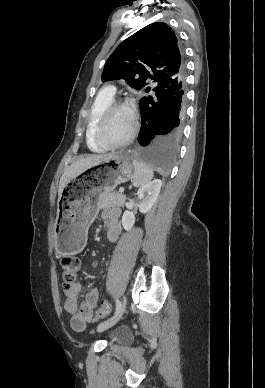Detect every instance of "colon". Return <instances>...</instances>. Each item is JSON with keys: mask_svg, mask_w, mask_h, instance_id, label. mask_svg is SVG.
<instances>
[{"mask_svg": "<svg viewBox=\"0 0 265 388\" xmlns=\"http://www.w3.org/2000/svg\"><path fill=\"white\" fill-rule=\"evenodd\" d=\"M62 265V283L65 290H68L75 284L80 269V260L76 256H66L61 261ZM110 305L103 301L98 309L95 311V315L99 318L105 317L110 313Z\"/></svg>", "mask_w": 265, "mask_h": 388, "instance_id": "colon-1", "label": "colon"}]
</instances>
